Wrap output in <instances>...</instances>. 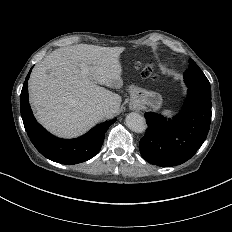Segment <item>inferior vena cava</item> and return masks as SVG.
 Returning <instances> with one entry per match:
<instances>
[{"mask_svg": "<svg viewBox=\"0 0 232 232\" xmlns=\"http://www.w3.org/2000/svg\"><path fill=\"white\" fill-rule=\"evenodd\" d=\"M101 112L103 115L107 114V113H110V109L108 106H104L102 109H101Z\"/></svg>", "mask_w": 232, "mask_h": 232, "instance_id": "inferior-vena-cava-1", "label": "inferior vena cava"}]
</instances>
